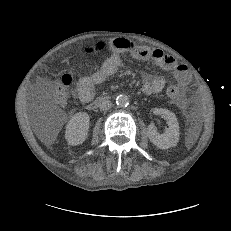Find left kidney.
Masks as SVG:
<instances>
[{"label": "left kidney", "instance_id": "1", "mask_svg": "<svg viewBox=\"0 0 231 231\" xmlns=\"http://www.w3.org/2000/svg\"><path fill=\"white\" fill-rule=\"evenodd\" d=\"M153 113L162 115L167 120L169 128L162 134L157 132L153 123L147 128L150 141L160 149H168L176 146L179 141V123L174 113L167 109L155 108Z\"/></svg>", "mask_w": 231, "mask_h": 231}]
</instances>
